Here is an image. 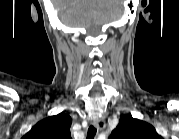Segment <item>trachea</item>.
<instances>
[{
    "label": "trachea",
    "mask_w": 179,
    "mask_h": 139,
    "mask_svg": "<svg viewBox=\"0 0 179 139\" xmlns=\"http://www.w3.org/2000/svg\"><path fill=\"white\" fill-rule=\"evenodd\" d=\"M97 129L94 126H90L87 133V139H93L96 135Z\"/></svg>",
    "instance_id": "1"
}]
</instances>
